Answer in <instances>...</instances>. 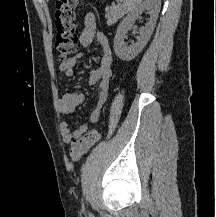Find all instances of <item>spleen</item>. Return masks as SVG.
<instances>
[{
  "mask_svg": "<svg viewBox=\"0 0 216 217\" xmlns=\"http://www.w3.org/2000/svg\"><path fill=\"white\" fill-rule=\"evenodd\" d=\"M123 1V7L126 11H132L134 10L142 0H122Z\"/></svg>",
  "mask_w": 216,
  "mask_h": 217,
  "instance_id": "obj_1",
  "label": "spleen"
}]
</instances>
